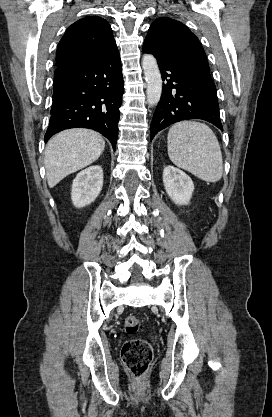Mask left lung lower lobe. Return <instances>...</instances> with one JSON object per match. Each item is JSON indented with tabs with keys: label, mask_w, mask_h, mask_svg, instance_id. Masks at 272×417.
Returning a JSON list of instances; mask_svg holds the SVG:
<instances>
[{
	"label": "left lung lower lobe",
	"mask_w": 272,
	"mask_h": 417,
	"mask_svg": "<svg viewBox=\"0 0 272 417\" xmlns=\"http://www.w3.org/2000/svg\"><path fill=\"white\" fill-rule=\"evenodd\" d=\"M156 59L166 83L150 126L151 140L160 130L188 119H202L223 130L210 72L176 59Z\"/></svg>",
	"instance_id": "left-lung-lower-lobe-1"
}]
</instances>
